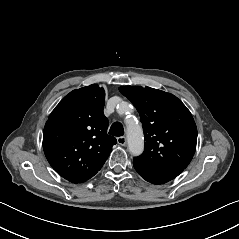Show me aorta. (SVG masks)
Wrapping results in <instances>:
<instances>
[{"instance_id":"aorta-1","label":"aorta","mask_w":239,"mask_h":239,"mask_svg":"<svg viewBox=\"0 0 239 239\" xmlns=\"http://www.w3.org/2000/svg\"><path fill=\"white\" fill-rule=\"evenodd\" d=\"M119 108H121V106ZM127 137L129 141V150L133 154L140 153L143 148V135L141 128L138 126H131L128 129Z\"/></svg>"}]
</instances>
